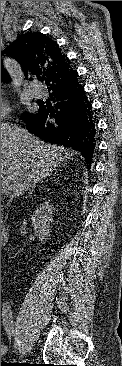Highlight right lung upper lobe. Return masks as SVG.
<instances>
[{"mask_svg":"<svg viewBox=\"0 0 122 366\" xmlns=\"http://www.w3.org/2000/svg\"><path fill=\"white\" fill-rule=\"evenodd\" d=\"M3 53L20 63L26 77L45 76L49 87L67 83L77 74L68 57L62 55L59 45L42 33L18 37L1 55ZM1 78H7L2 68Z\"/></svg>","mask_w":122,"mask_h":366,"instance_id":"right-lung-upper-lobe-1","label":"right lung upper lobe"}]
</instances>
